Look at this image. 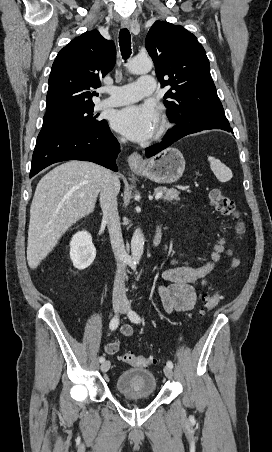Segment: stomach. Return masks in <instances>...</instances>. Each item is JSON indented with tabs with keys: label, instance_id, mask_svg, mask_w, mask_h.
<instances>
[{
	"label": "stomach",
	"instance_id": "obj_1",
	"mask_svg": "<svg viewBox=\"0 0 272 452\" xmlns=\"http://www.w3.org/2000/svg\"><path fill=\"white\" fill-rule=\"evenodd\" d=\"M135 170L154 182L173 183L182 176L185 159L176 148H167Z\"/></svg>",
	"mask_w": 272,
	"mask_h": 452
}]
</instances>
